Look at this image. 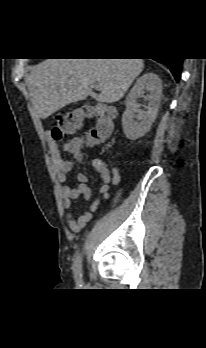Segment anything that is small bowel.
Wrapping results in <instances>:
<instances>
[{"mask_svg": "<svg viewBox=\"0 0 206 348\" xmlns=\"http://www.w3.org/2000/svg\"><path fill=\"white\" fill-rule=\"evenodd\" d=\"M51 158L55 167L57 179L64 183L68 179V173L71 171L73 164L63 157L64 152H71L68 145L61 149L57 144L51 142L49 146ZM78 157H80L77 154ZM91 167L99 174L102 185L97 198L91 203L89 210H83L79 214L72 209L75 200L83 198L89 200L91 191L88 187V176L84 173L77 175V185L75 187L63 186L62 197L63 205L67 210V222L72 232H80L91 220L92 214L98 209L101 200L110 197L111 186L120 182V173L117 167L99 159L94 158L90 161Z\"/></svg>", "mask_w": 206, "mask_h": 348, "instance_id": "1", "label": "small bowel"}]
</instances>
